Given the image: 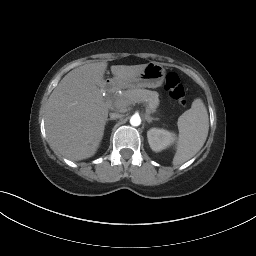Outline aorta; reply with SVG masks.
<instances>
[{
	"mask_svg": "<svg viewBox=\"0 0 256 256\" xmlns=\"http://www.w3.org/2000/svg\"><path fill=\"white\" fill-rule=\"evenodd\" d=\"M130 124L132 126H139L141 124V118L139 115H133L131 118H130Z\"/></svg>",
	"mask_w": 256,
	"mask_h": 256,
	"instance_id": "762f6f07",
	"label": "aorta"
}]
</instances>
